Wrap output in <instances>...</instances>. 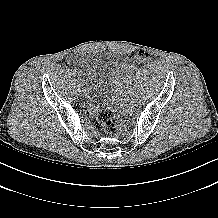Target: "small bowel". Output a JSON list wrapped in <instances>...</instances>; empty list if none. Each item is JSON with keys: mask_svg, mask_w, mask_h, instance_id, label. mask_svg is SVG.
<instances>
[{"mask_svg": "<svg viewBox=\"0 0 218 218\" xmlns=\"http://www.w3.org/2000/svg\"><path fill=\"white\" fill-rule=\"evenodd\" d=\"M68 62L71 63V64L75 63V57L72 56V55L69 56V57H68Z\"/></svg>", "mask_w": 218, "mask_h": 218, "instance_id": "obj_1", "label": "small bowel"}]
</instances>
